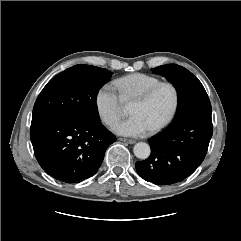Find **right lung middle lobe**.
I'll use <instances>...</instances> for the list:
<instances>
[{"label": "right lung middle lobe", "instance_id": "dd1d6c3e", "mask_svg": "<svg viewBox=\"0 0 241 241\" xmlns=\"http://www.w3.org/2000/svg\"><path fill=\"white\" fill-rule=\"evenodd\" d=\"M112 72L91 65H75L53 77L39 94L32 120L47 116H69L99 123L96 97Z\"/></svg>", "mask_w": 241, "mask_h": 241}]
</instances>
